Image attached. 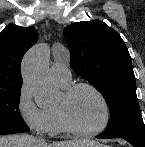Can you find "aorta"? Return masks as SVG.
<instances>
[{"label": "aorta", "instance_id": "1", "mask_svg": "<svg viewBox=\"0 0 145 147\" xmlns=\"http://www.w3.org/2000/svg\"><path fill=\"white\" fill-rule=\"evenodd\" d=\"M49 54L47 45L37 44L25 54L22 62L24 83L39 105L50 101L56 93L49 75Z\"/></svg>", "mask_w": 145, "mask_h": 147}]
</instances>
